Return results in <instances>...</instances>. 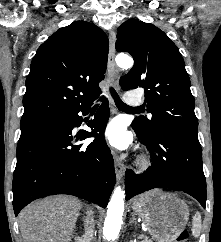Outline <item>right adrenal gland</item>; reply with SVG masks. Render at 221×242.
I'll use <instances>...</instances> for the list:
<instances>
[{
	"mask_svg": "<svg viewBox=\"0 0 221 242\" xmlns=\"http://www.w3.org/2000/svg\"><path fill=\"white\" fill-rule=\"evenodd\" d=\"M87 212H88V211H87ZM85 218H86L85 216L82 218L84 222H85Z\"/></svg>",
	"mask_w": 221,
	"mask_h": 242,
	"instance_id": "right-adrenal-gland-1",
	"label": "right adrenal gland"
}]
</instances>
